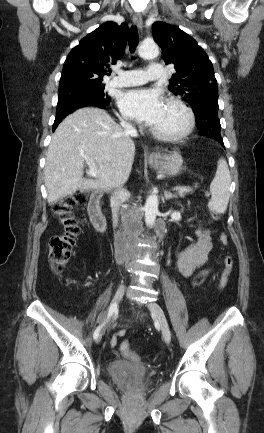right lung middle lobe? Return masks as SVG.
I'll return each mask as SVG.
<instances>
[{"label":"right lung middle lobe","mask_w":264,"mask_h":433,"mask_svg":"<svg viewBox=\"0 0 264 433\" xmlns=\"http://www.w3.org/2000/svg\"><path fill=\"white\" fill-rule=\"evenodd\" d=\"M105 86L103 84L93 86H79L69 88L62 93H59L58 104L56 110V117L63 116L68 113L73 105L77 102L87 100H99L109 104L110 97L104 92Z\"/></svg>","instance_id":"obj_1"}]
</instances>
